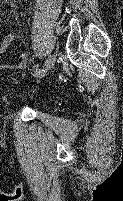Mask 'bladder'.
<instances>
[{"mask_svg": "<svg viewBox=\"0 0 123 201\" xmlns=\"http://www.w3.org/2000/svg\"><path fill=\"white\" fill-rule=\"evenodd\" d=\"M31 102L36 106H42L44 104L43 97H34L31 99Z\"/></svg>", "mask_w": 123, "mask_h": 201, "instance_id": "bladder-1", "label": "bladder"}]
</instances>
